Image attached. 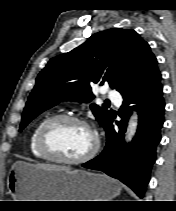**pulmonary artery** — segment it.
<instances>
[{"label": "pulmonary artery", "mask_w": 176, "mask_h": 211, "mask_svg": "<svg viewBox=\"0 0 176 211\" xmlns=\"http://www.w3.org/2000/svg\"><path fill=\"white\" fill-rule=\"evenodd\" d=\"M107 96L115 103H121V96L116 91H109Z\"/></svg>", "instance_id": "pulmonary-artery-1"}]
</instances>
